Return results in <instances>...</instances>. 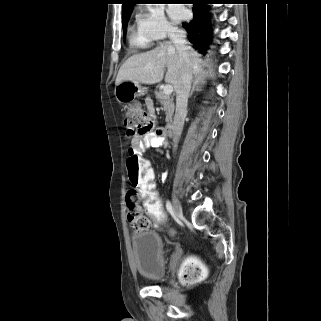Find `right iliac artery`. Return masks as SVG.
I'll list each match as a JSON object with an SVG mask.
<instances>
[{
	"instance_id": "right-iliac-artery-1",
	"label": "right iliac artery",
	"mask_w": 321,
	"mask_h": 321,
	"mask_svg": "<svg viewBox=\"0 0 321 321\" xmlns=\"http://www.w3.org/2000/svg\"><path fill=\"white\" fill-rule=\"evenodd\" d=\"M166 208H167V211L169 212V213H171L172 212V205H171V203L169 202V201H167V203H166Z\"/></svg>"
}]
</instances>
